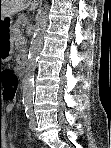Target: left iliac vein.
<instances>
[{"mask_svg": "<svg viewBox=\"0 0 111 148\" xmlns=\"http://www.w3.org/2000/svg\"><path fill=\"white\" fill-rule=\"evenodd\" d=\"M36 127V119L34 117V115L31 114L30 116V120H29V128L34 131Z\"/></svg>", "mask_w": 111, "mask_h": 148, "instance_id": "left-iliac-vein-1", "label": "left iliac vein"}]
</instances>
